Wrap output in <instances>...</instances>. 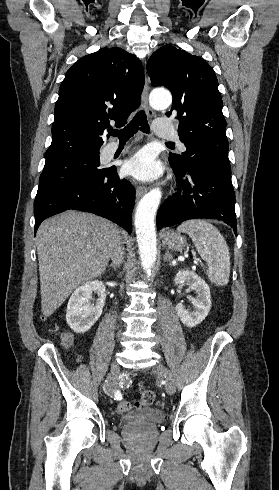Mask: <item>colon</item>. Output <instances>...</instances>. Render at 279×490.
Returning <instances> with one entry per match:
<instances>
[{
  "mask_svg": "<svg viewBox=\"0 0 279 490\" xmlns=\"http://www.w3.org/2000/svg\"><path fill=\"white\" fill-rule=\"evenodd\" d=\"M53 332H57V329L54 328ZM59 335H60V338H61L64 346H69L71 344V342H72L71 334H69L67 332H60ZM154 399H155V393L152 390H146L142 394V397L139 401V404L141 406H150L154 402ZM131 408H132V405L129 401L122 400L116 405L114 411L117 414H125L128 411H130Z\"/></svg>",
  "mask_w": 279,
  "mask_h": 490,
  "instance_id": "obj_1",
  "label": "colon"
}]
</instances>
